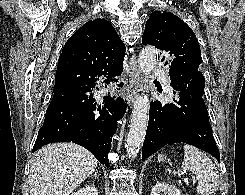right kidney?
Returning a JSON list of instances; mask_svg holds the SVG:
<instances>
[{
  "label": "right kidney",
  "mask_w": 245,
  "mask_h": 195,
  "mask_svg": "<svg viewBox=\"0 0 245 195\" xmlns=\"http://www.w3.org/2000/svg\"><path fill=\"white\" fill-rule=\"evenodd\" d=\"M71 195H98V190L94 186H87L84 188L79 189L78 191L74 192Z\"/></svg>",
  "instance_id": "ca27d5eb"
}]
</instances>
